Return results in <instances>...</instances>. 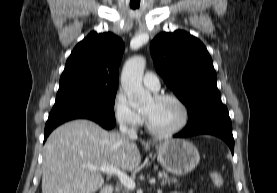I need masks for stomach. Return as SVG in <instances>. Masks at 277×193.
<instances>
[{"instance_id": "obj_1", "label": "stomach", "mask_w": 277, "mask_h": 193, "mask_svg": "<svg viewBox=\"0 0 277 193\" xmlns=\"http://www.w3.org/2000/svg\"><path fill=\"white\" fill-rule=\"evenodd\" d=\"M162 167L174 175H185L195 169L200 161L197 148L184 139H169L155 146Z\"/></svg>"}]
</instances>
